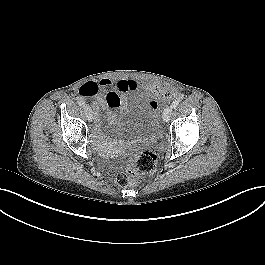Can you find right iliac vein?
Returning <instances> with one entry per match:
<instances>
[{
  "instance_id": "1",
  "label": "right iliac vein",
  "mask_w": 265,
  "mask_h": 265,
  "mask_svg": "<svg viewBox=\"0 0 265 265\" xmlns=\"http://www.w3.org/2000/svg\"><path fill=\"white\" fill-rule=\"evenodd\" d=\"M85 114H86L88 121L91 122L93 119V112L90 106H87V105L85 106Z\"/></svg>"
}]
</instances>
